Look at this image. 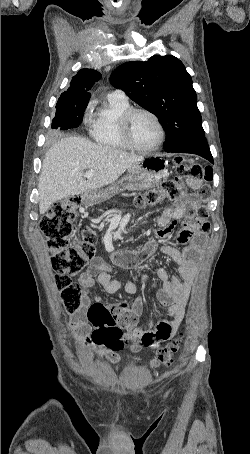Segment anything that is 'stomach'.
Segmentation results:
<instances>
[{"label": "stomach", "mask_w": 250, "mask_h": 454, "mask_svg": "<svg viewBox=\"0 0 250 454\" xmlns=\"http://www.w3.org/2000/svg\"><path fill=\"white\" fill-rule=\"evenodd\" d=\"M166 176V164L158 157H149L133 164L128 175L105 189L88 190L81 194L85 205L101 203L124 189H149L159 184Z\"/></svg>", "instance_id": "obj_1"}]
</instances>
